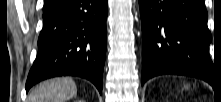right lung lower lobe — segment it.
Wrapping results in <instances>:
<instances>
[{"mask_svg":"<svg viewBox=\"0 0 221 102\" xmlns=\"http://www.w3.org/2000/svg\"><path fill=\"white\" fill-rule=\"evenodd\" d=\"M107 13V0H58L44 10L26 92L51 77L78 76L90 80L102 94Z\"/></svg>","mask_w":221,"mask_h":102,"instance_id":"1","label":"right lung lower lobe"}]
</instances>
